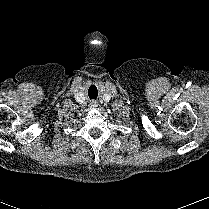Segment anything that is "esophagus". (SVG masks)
<instances>
[{
    "instance_id": "34e87169",
    "label": "esophagus",
    "mask_w": 209,
    "mask_h": 209,
    "mask_svg": "<svg viewBox=\"0 0 209 209\" xmlns=\"http://www.w3.org/2000/svg\"><path fill=\"white\" fill-rule=\"evenodd\" d=\"M90 106L94 108V107H97L98 105L96 104V102L94 100H92L90 102Z\"/></svg>"
}]
</instances>
